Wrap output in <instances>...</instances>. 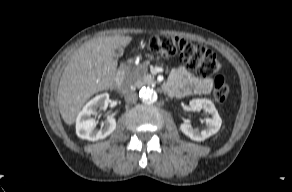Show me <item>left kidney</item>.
Here are the masks:
<instances>
[{
  "mask_svg": "<svg viewBox=\"0 0 292 192\" xmlns=\"http://www.w3.org/2000/svg\"><path fill=\"white\" fill-rule=\"evenodd\" d=\"M193 111L204 110L209 113L210 117L206 118L205 124L206 128L202 131L194 129L191 124L183 123L180 125V130L191 140L194 141H204L208 137L216 134L222 124V120L211 100L208 99H192L189 103Z\"/></svg>",
  "mask_w": 292,
  "mask_h": 192,
  "instance_id": "1",
  "label": "left kidney"
}]
</instances>
